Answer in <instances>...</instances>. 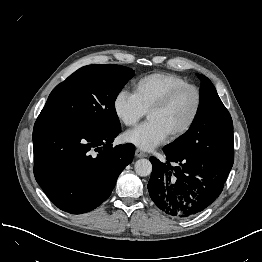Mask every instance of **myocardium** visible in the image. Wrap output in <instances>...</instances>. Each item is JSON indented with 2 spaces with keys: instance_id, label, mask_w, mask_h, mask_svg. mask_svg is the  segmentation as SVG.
<instances>
[{
  "instance_id": "obj_1",
  "label": "myocardium",
  "mask_w": 262,
  "mask_h": 262,
  "mask_svg": "<svg viewBox=\"0 0 262 262\" xmlns=\"http://www.w3.org/2000/svg\"><path fill=\"white\" fill-rule=\"evenodd\" d=\"M185 91H191L193 93L195 99L194 109L187 123L180 129L169 135L170 140H177L183 137L193 128L194 124L196 123L202 106V94L199 88L192 84L178 86L169 91L159 101L154 103L147 111L148 115L150 112L166 108L177 96H179L181 93Z\"/></svg>"
}]
</instances>
